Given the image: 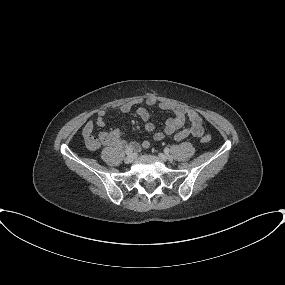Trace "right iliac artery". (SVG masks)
<instances>
[{"label":"right iliac artery","instance_id":"obj_1","mask_svg":"<svg viewBox=\"0 0 285 285\" xmlns=\"http://www.w3.org/2000/svg\"><path fill=\"white\" fill-rule=\"evenodd\" d=\"M125 152H126L127 155H129V154H131L133 152V149L127 148Z\"/></svg>","mask_w":285,"mask_h":285}]
</instances>
